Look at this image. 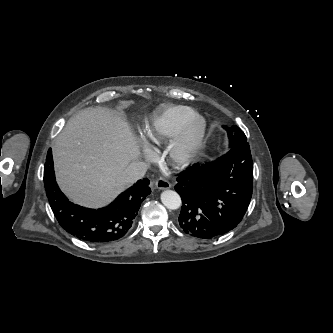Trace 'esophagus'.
Returning a JSON list of instances; mask_svg holds the SVG:
<instances>
[{"instance_id":"1","label":"esophagus","mask_w":333,"mask_h":333,"mask_svg":"<svg viewBox=\"0 0 333 333\" xmlns=\"http://www.w3.org/2000/svg\"><path fill=\"white\" fill-rule=\"evenodd\" d=\"M155 186L160 190L171 188V184L164 178H159L158 180H156Z\"/></svg>"}]
</instances>
